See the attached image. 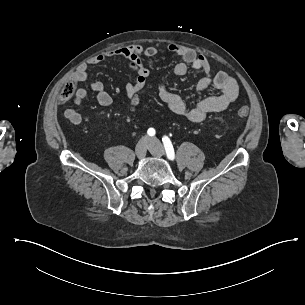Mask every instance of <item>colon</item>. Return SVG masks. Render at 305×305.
<instances>
[{
    "mask_svg": "<svg viewBox=\"0 0 305 305\" xmlns=\"http://www.w3.org/2000/svg\"><path fill=\"white\" fill-rule=\"evenodd\" d=\"M80 83V75L75 70H70L65 75V83L61 90V102L66 107H71L76 102V92L78 90V85ZM130 107L132 109H137L139 107L138 94L136 92H131L129 94ZM238 117H246L249 115V109L247 107H241L236 111Z\"/></svg>",
    "mask_w": 305,
    "mask_h": 305,
    "instance_id": "1",
    "label": "colon"
}]
</instances>
